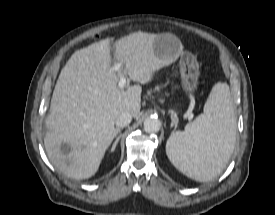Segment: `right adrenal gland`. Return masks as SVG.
<instances>
[{
  "mask_svg": "<svg viewBox=\"0 0 275 215\" xmlns=\"http://www.w3.org/2000/svg\"><path fill=\"white\" fill-rule=\"evenodd\" d=\"M120 138H121V134L119 136H117V138H116V140H115V142H114V144H113V146L111 148V151H114L116 149V146H117Z\"/></svg>",
  "mask_w": 275,
  "mask_h": 215,
  "instance_id": "2a0ac1e0",
  "label": "right adrenal gland"
}]
</instances>
